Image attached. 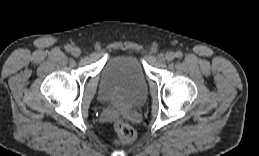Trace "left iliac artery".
I'll use <instances>...</instances> for the list:
<instances>
[{
	"label": "left iliac artery",
	"mask_w": 259,
	"mask_h": 156,
	"mask_svg": "<svg viewBox=\"0 0 259 156\" xmlns=\"http://www.w3.org/2000/svg\"><path fill=\"white\" fill-rule=\"evenodd\" d=\"M175 56L177 58H182L183 57V53L181 51H178V52H176Z\"/></svg>",
	"instance_id": "left-iliac-artery-1"
}]
</instances>
